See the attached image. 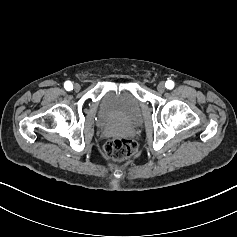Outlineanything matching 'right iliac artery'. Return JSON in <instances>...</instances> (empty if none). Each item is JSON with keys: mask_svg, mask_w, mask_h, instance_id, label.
Returning a JSON list of instances; mask_svg holds the SVG:
<instances>
[{"mask_svg": "<svg viewBox=\"0 0 237 237\" xmlns=\"http://www.w3.org/2000/svg\"><path fill=\"white\" fill-rule=\"evenodd\" d=\"M64 88L67 90V91H71L73 89V85L71 83V81H66L64 83Z\"/></svg>", "mask_w": 237, "mask_h": 237, "instance_id": "1", "label": "right iliac artery"}]
</instances>
